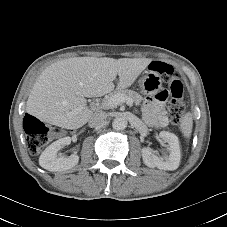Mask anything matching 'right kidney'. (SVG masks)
<instances>
[{"label":"right kidney","mask_w":227,"mask_h":227,"mask_svg":"<svg viewBox=\"0 0 227 227\" xmlns=\"http://www.w3.org/2000/svg\"><path fill=\"white\" fill-rule=\"evenodd\" d=\"M71 143L70 137L61 138L49 145L40 155L39 164L49 171H64L73 168L79 162V156L72 154L68 157H58V151Z\"/></svg>","instance_id":"ca27d5eb"}]
</instances>
